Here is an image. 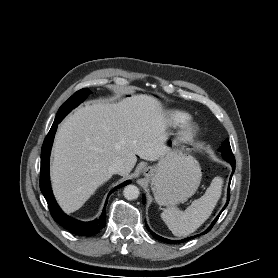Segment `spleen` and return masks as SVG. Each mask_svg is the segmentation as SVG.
Listing matches in <instances>:
<instances>
[{
  "mask_svg": "<svg viewBox=\"0 0 278 278\" xmlns=\"http://www.w3.org/2000/svg\"><path fill=\"white\" fill-rule=\"evenodd\" d=\"M222 184V178L215 177L205 194L194 200L185 211L174 207L164 209L161 218L169 230L179 237L196 231L212 214L220 198Z\"/></svg>",
  "mask_w": 278,
  "mask_h": 278,
  "instance_id": "spleen-1",
  "label": "spleen"
}]
</instances>
